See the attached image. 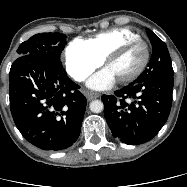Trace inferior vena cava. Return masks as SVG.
Returning <instances> with one entry per match:
<instances>
[{
	"mask_svg": "<svg viewBox=\"0 0 187 187\" xmlns=\"http://www.w3.org/2000/svg\"><path fill=\"white\" fill-rule=\"evenodd\" d=\"M84 75H82V74H79L78 76H77V78H76V80L77 81H82L83 79H84Z\"/></svg>",
	"mask_w": 187,
	"mask_h": 187,
	"instance_id": "inferior-vena-cava-1",
	"label": "inferior vena cava"
}]
</instances>
